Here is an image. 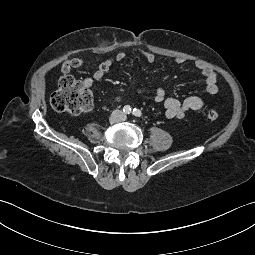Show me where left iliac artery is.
Listing matches in <instances>:
<instances>
[{"mask_svg":"<svg viewBox=\"0 0 255 255\" xmlns=\"http://www.w3.org/2000/svg\"><path fill=\"white\" fill-rule=\"evenodd\" d=\"M133 115L134 116H136V117H141L142 116V113H141V111L139 110V109H136V108H134L133 109Z\"/></svg>","mask_w":255,"mask_h":255,"instance_id":"left-iliac-artery-1","label":"left iliac artery"}]
</instances>
